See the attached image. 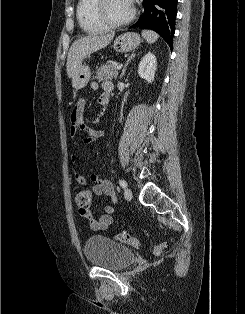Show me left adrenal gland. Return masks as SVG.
<instances>
[{
  "label": "left adrenal gland",
  "mask_w": 245,
  "mask_h": 314,
  "mask_svg": "<svg viewBox=\"0 0 245 314\" xmlns=\"http://www.w3.org/2000/svg\"><path fill=\"white\" fill-rule=\"evenodd\" d=\"M134 57H135V53H132V54L130 55V57H128L127 62L125 63V66L123 67L122 73H121V75H120V80H121V79L123 78V76L125 75V71H126V68H127L128 64H129V62H130L131 59H133Z\"/></svg>",
  "instance_id": "obj_1"
}]
</instances>
